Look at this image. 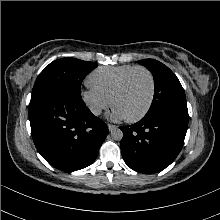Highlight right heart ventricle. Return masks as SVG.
Segmentation results:
<instances>
[{"mask_svg":"<svg viewBox=\"0 0 220 220\" xmlns=\"http://www.w3.org/2000/svg\"><path fill=\"white\" fill-rule=\"evenodd\" d=\"M135 67L133 65L99 67L90 73L87 81L89 86L111 98L121 80Z\"/></svg>","mask_w":220,"mask_h":220,"instance_id":"right-heart-ventricle-1","label":"right heart ventricle"}]
</instances>
